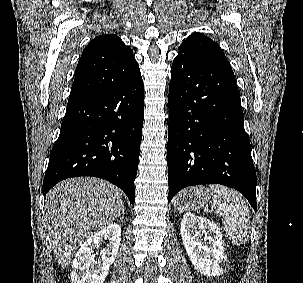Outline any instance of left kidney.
<instances>
[{
	"label": "left kidney",
	"mask_w": 303,
	"mask_h": 283,
	"mask_svg": "<svg viewBox=\"0 0 303 283\" xmlns=\"http://www.w3.org/2000/svg\"><path fill=\"white\" fill-rule=\"evenodd\" d=\"M180 231L194 268L209 277L223 274L228 260L219 227L206 218L187 213L182 218Z\"/></svg>",
	"instance_id": "left-kidney-1"
}]
</instances>
